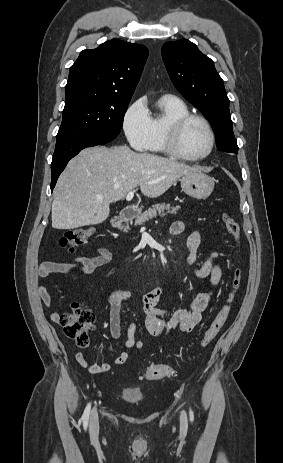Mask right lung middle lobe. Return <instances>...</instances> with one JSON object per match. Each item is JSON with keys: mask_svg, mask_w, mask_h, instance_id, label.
<instances>
[{"mask_svg": "<svg viewBox=\"0 0 283 463\" xmlns=\"http://www.w3.org/2000/svg\"><path fill=\"white\" fill-rule=\"evenodd\" d=\"M131 98L80 91L66 96L63 119L56 142L87 135L120 133Z\"/></svg>", "mask_w": 283, "mask_h": 463, "instance_id": "dd1d6c3e", "label": "right lung middle lobe"}]
</instances>
